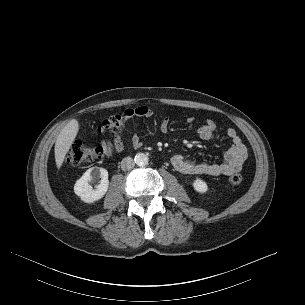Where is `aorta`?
<instances>
[{"label":"aorta","mask_w":305,"mask_h":305,"mask_svg":"<svg viewBox=\"0 0 305 305\" xmlns=\"http://www.w3.org/2000/svg\"><path fill=\"white\" fill-rule=\"evenodd\" d=\"M134 160L138 166H145L148 164L149 158L145 153H137Z\"/></svg>","instance_id":"obj_1"}]
</instances>
